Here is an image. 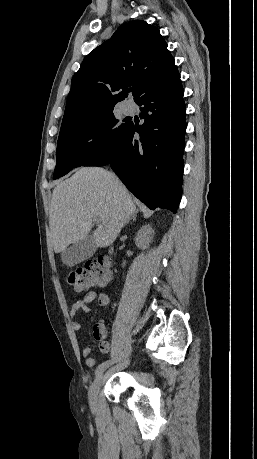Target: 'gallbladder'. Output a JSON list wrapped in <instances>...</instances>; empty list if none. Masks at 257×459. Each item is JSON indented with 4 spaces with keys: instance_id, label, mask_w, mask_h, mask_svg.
<instances>
[{
    "instance_id": "gallbladder-1",
    "label": "gallbladder",
    "mask_w": 257,
    "mask_h": 459,
    "mask_svg": "<svg viewBox=\"0 0 257 459\" xmlns=\"http://www.w3.org/2000/svg\"><path fill=\"white\" fill-rule=\"evenodd\" d=\"M96 248L93 235L90 234L64 251L61 254V260L67 266L72 267L90 258L95 253Z\"/></svg>"
}]
</instances>
